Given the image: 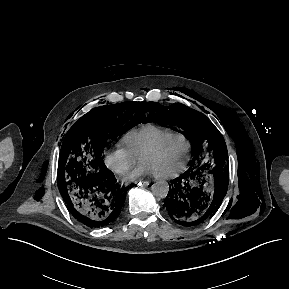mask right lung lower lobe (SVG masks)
<instances>
[{
	"label": "right lung lower lobe",
	"instance_id": "1",
	"mask_svg": "<svg viewBox=\"0 0 289 289\" xmlns=\"http://www.w3.org/2000/svg\"><path fill=\"white\" fill-rule=\"evenodd\" d=\"M127 190L106 167L97 173H88L60 193L76 220L90 228H101L118 218Z\"/></svg>",
	"mask_w": 289,
	"mask_h": 289
}]
</instances>
